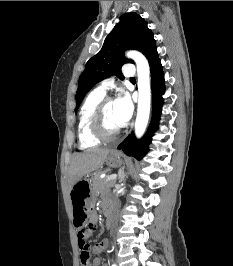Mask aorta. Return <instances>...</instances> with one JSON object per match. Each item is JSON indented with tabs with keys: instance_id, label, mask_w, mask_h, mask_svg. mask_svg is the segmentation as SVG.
<instances>
[{
	"instance_id": "762f6f07",
	"label": "aorta",
	"mask_w": 233,
	"mask_h": 266,
	"mask_svg": "<svg viewBox=\"0 0 233 266\" xmlns=\"http://www.w3.org/2000/svg\"><path fill=\"white\" fill-rule=\"evenodd\" d=\"M126 56L133 59L137 67L138 108L135 121V135L141 138L146 130L151 105L150 67L146 57L138 51H129Z\"/></svg>"
}]
</instances>
